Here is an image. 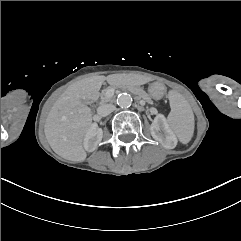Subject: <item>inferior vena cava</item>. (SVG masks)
<instances>
[{
    "label": "inferior vena cava",
    "mask_w": 241,
    "mask_h": 241,
    "mask_svg": "<svg viewBox=\"0 0 241 241\" xmlns=\"http://www.w3.org/2000/svg\"><path fill=\"white\" fill-rule=\"evenodd\" d=\"M115 110V106L112 104H103L97 108V114L99 116H107Z\"/></svg>",
    "instance_id": "inferior-vena-cava-1"
}]
</instances>
